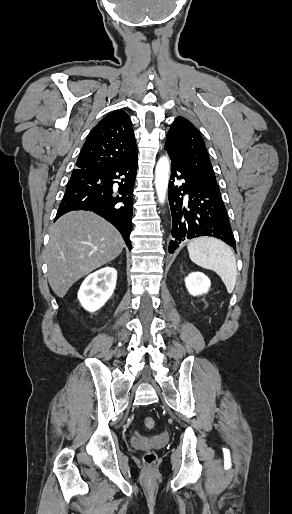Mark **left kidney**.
Masks as SVG:
<instances>
[{
	"label": "left kidney",
	"instance_id": "obj_1",
	"mask_svg": "<svg viewBox=\"0 0 292 514\" xmlns=\"http://www.w3.org/2000/svg\"><path fill=\"white\" fill-rule=\"evenodd\" d=\"M186 288L189 294L192 296H201V294H207L211 282L205 274L202 272H192L188 278H185Z\"/></svg>",
	"mask_w": 292,
	"mask_h": 514
}]
</instances>
